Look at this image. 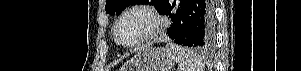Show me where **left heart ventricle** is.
I'll list each match as a JSON object with an SVG mask.
<instances>
[{"instance_id": "b2bd125f", "label": "left heart ventricle", "mask_w": 301, "mask_h": 71, "mask_svg": "<svg viewBox=\"0 0 301 71\" xmlns=\"http://www.w3.org/2000/svg\"><path fill=\"white\" fill-rule=\"evenodd\" d=\"M150 24V19L144 14H131L120 23L118 37L123 43H133L147 32Z\"/></svg>"}]
</instances>
